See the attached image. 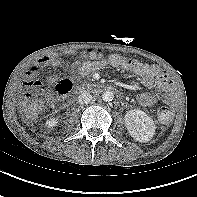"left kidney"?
I'll return each instance as SVG.
<instances>
[{
    "instance_id": "5707ae66",
    "label": "left kidney",
    "mask_w": 197,
    "mask_h": 197,
    "mask_svg": "<svg viewBox=\"0 0 197 197\" xmlns=\"http://www.w3.org/2000/svg\"><path fill=\"white\" fill-rule=\"evenodd\" d=\"M129 134L139 142H148L155 134L153 119L139 109L129 110L124 117Z\"/></svg>"
}]
</instances>
